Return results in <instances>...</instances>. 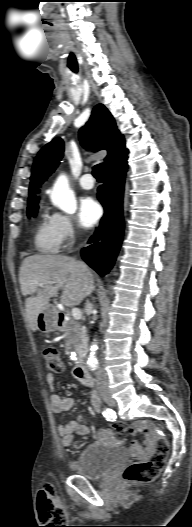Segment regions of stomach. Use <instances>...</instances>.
Wrapping results in <instances>:
<instances>
[{"mask_svg": "<svg viewBox=\"0 0 192 527\" xmlns=\"http://www.w3.org/2000/svg\"><path fill=\"white\" fill-rule=\"evenodd\" d=\"M37 328L42 333L58 330V312L55 307L47 305L40 311L37 318Z\"/></svg>", "mask_w": 192, "mask_h": 527, "instance_id": "1", "label": "stomach"}]
</instances>
